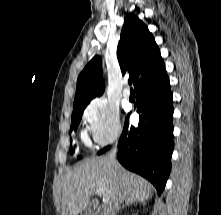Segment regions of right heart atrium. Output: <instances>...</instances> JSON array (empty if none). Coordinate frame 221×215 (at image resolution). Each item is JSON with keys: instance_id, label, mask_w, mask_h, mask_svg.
<instances>
[{"instance_id": "right-heart-atrium-1", "label": "right heart atrium", "mask_w": 221, "mask_h": 215, "mask_svg": "<svg viewBox=\"0 0 221 215\" xmlns=\"http://www.w3.org/2000/svg\"><path fill=\"white\" fill-rule=\"evenodd\" d=\"M83 119L91 138L100 146L115 141L121 135L118 108L106 98L92 100L83 112Z\"/></svg>"}]
</instances>
